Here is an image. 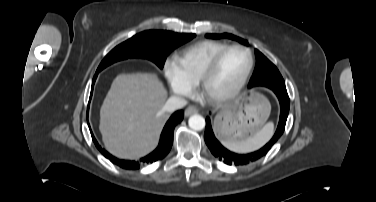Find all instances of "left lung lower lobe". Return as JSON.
Masks as SVG:
<instances>
[{"label":"left lung lower lobe","mask_w":376,"mask_h":202,"mask_svg":"<svg viewBox=\"0 0 376 202\" xmlns=\"http://www.w3.org/2000/svg\"><path fill=\"white\" fill-rule=\"evenodd\" d=\"M270 89H272L274 93L276 94L280 103V108H281L279 124L272 139L260 150L250 153V154L241 155V154L230 152L229 150L224 148L220 144V142L215 138L212 127H211L210 119L209 117H207L204 139L211 153L215 157H217L219 160L223 161L224 163L228 165L249 164L265 156L268 153V151L271 149V147L282 136L284 129H285V124H286V120H287L289 108H290L289 96L287 94V90H284L278 87L270 88Z\"/></svg>","instance_id":"1"}]
</instances>
